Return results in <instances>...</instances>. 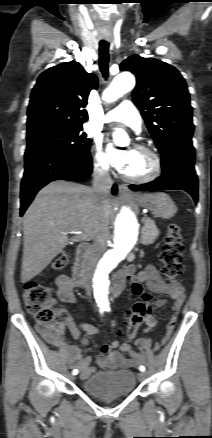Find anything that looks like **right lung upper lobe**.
Listing matches in <instances>:
<instances>
[{"instance_id": "obj_1", "label": "right lung upper lobe", "mask_w": 212, "mask_h": 438, "mask_svg": "<svg viewBox=\"0 0 212 438\" xmlns=\"http://www.w3.org/2000/svg\"><path fill=\"white\" fill-rule=\"evenodd\" d=\"M98 85L80 63L64 62L44 71L34 86L28 106V130L44 125L82 127L91 89Z\"/></svg>"}]
</instances>
